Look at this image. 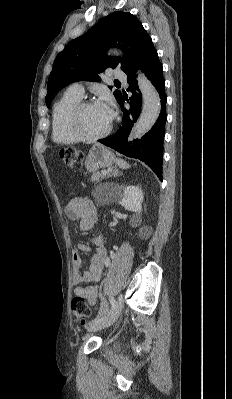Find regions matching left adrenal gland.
Here are the masks:
<instances>
[{"label":"left adrenal gland","mask_w":232,"mask_h":399,"mask_svg":"<svg viewBox=\"0 0 232 399\" xmlns=\"http://www.w3.org/2000/svg\"><path fill=\"white\" fill-rule=\"evenodd\" d=\"M111 176H123V174H121V172H119L115 166V170H112Z\"/></svg>","instance_id":"1"}]
</instances>
